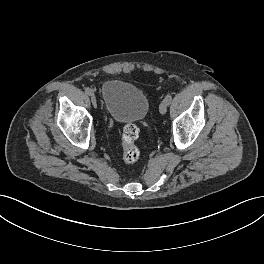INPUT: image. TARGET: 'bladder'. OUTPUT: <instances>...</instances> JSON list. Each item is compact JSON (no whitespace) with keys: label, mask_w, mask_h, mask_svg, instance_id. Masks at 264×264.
<instances>
[{"label":"bladder","mask_w":264,"mask_h":264,"mask_svg":"<svg viewBox=\"0 0 264 264\" xmlns=\"http://www.w3.org/2000/svg\"><path fill=\"white\" fill-rule=\"evenodd\" d=\"M101 94L106 113L117 122L141 121L148 113L146 94L130 82L108 80L103 83Z\"/></svg>","instance_id":"obj_1"}]
</instances>
